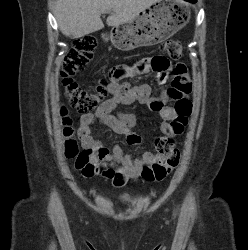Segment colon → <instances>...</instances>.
Here are the masks:
<instances>
[{
	"label": "colon",
	"instance_id": "5ec220e1",
	"mask_svg": "<svg viewBox=\"0 0 248 250\" xmlns=\"http://www.w3.org/2000/svg\"><path fill=\"white\" fill-rule=\"evenodd\" d=\"M96 40L93 37H84L76 40L69 53L64 57L61 67V83L65 90V95L71 107L80 112L90 113L97 110L103 103L110 83L106 76L100 78L95 86L90 89L82 87L73 77L83 71L91 61L95 48ZM161 49L170 59H179L183 56V46L178 40H166L161 43ZM165 60H167L165 58ZM168 61V60H167ZM154 63L159 66L162 60L155 59ZM160 69V68H158ZM159 80L164 78L158 75ZM169 97L177 100L179 95L170 87ZM159 106V104H156ZM64 136L65 155L68 159H75L78 168H86L88 171L97 172L94 165V155L91 150H80L77 141L73 138L72 121L64 112ZM155 148L159 154V160L151 167H145L144 177L150 180L163 179L169 169H174L180 159V151L170 137H160L155 142Z\"/></svg>",
	"mask_w": 248,
	"mask_h": 250
}]
</instances>
